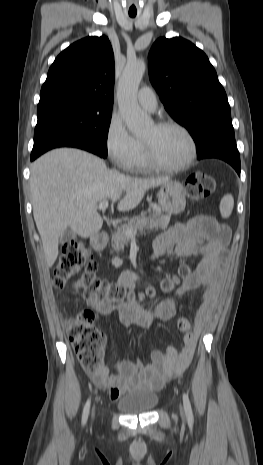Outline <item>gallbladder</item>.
<instances>
[{"label": "gallbladder", "mask_w": 263, "mask_h": 465, "mask_svg": "<svg viewBox=\"0 0 263 465\" xmlns=\"http://www.w3.org/2000/svg\"><path fill=\"white\" fill-rule=\"evenodd\" d=\"M76 236H77L76 233L72 229L67 228L63 231L59 240H60V243H64L71 239H75Z\"/></svg>", "instance_id": "bac80fb5"}]
</instances>
